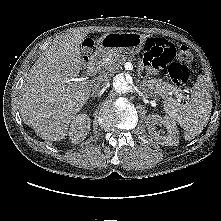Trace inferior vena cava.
I'll use <instances>...</instances> for the list:
<instances>
[{
  "label": "inferior vena cava",
  "mask_w": 221,
  "mask_h": 221,
  "mask_svg": "<svg viewBox=\"0 0 221 221\" xmlns=\"http://www.w3.org/2000/svg\"><path fill=\"white\" fill-rule=\"evenodd\" d=\"M108 82V76L107 74L103 75L97 81L94 83L93 88H92V94L93 95H98L104 92L106 89V85Z\"/></svg>",
  "instance_id": "602c4592"
}]
</instances>
